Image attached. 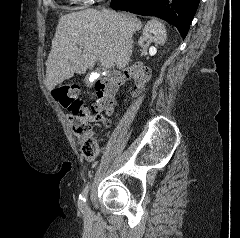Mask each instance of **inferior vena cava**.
I'll list each match as a JSON object with an SVG mask.
<instances>
[{"label": "inferior vena cava", "mask_w": 240, "mask_h": 238, "mask_svg": "<svg viewBox=\"0 0 240 238\" xmlns=\"http://www.w3.org/2000/svg\"><path fill=\"white\" fill-rule=\"evenodd\" d=\"M103 12H104V13H108V11H107L106 9H103Z\"/></svg>", "instance_id": "obj_1"}]
</instances>
